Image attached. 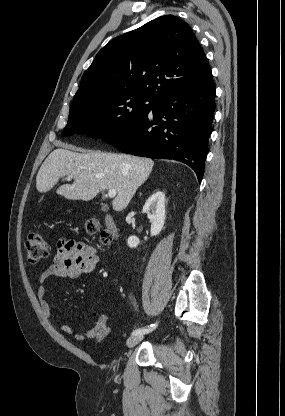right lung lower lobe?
<instances>
[{
	"instance_id": "right-lung-lower-lobe-1",
	"label": "right lung lower lobe",
	"mask_w": 285,
	"mask_h": 416,
	"mask_svg": "<svg viewBox=\"0 0 285 416\" xmlns=\"http://www.w3.org/2000/svg\"><path fill=\"white\" fill-rule=\"evenodd\" d=\"M215 92L212 78L179 91L155 104L153 120L147 115L103 140L132 155L181 161L195 171L200 183L215 111Z\"/></svg>"
}]
</instances>
